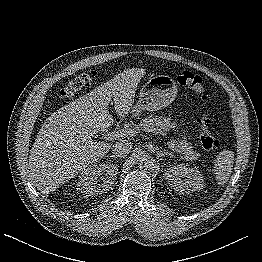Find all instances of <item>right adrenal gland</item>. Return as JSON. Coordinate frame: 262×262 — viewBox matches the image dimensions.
I'll return each mask as SVG.
<instances>
[{
    "label": "right adrenal gland",
    "instance_id": "obj_1",
    "mask_svg": "<svg viewBox=\"0 0 262 262\" xmlns=\"http://www.w3.org/2000/svg\"><path fill=\"white\" fill-rule=\"evenodd\" d=\"M106 157H109V158H114V159H116V156H114V155H111V156H109V155H107Z\"/></svg>",
    "mask_w": 262,
    "mask_h": 262
}]
</instances>
